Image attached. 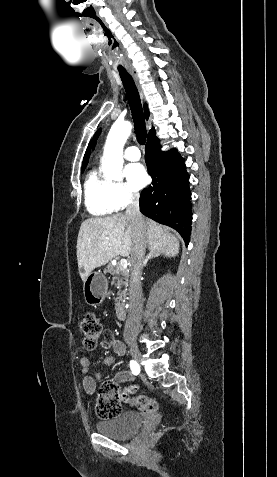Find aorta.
I'll list each match as a JSON object with an SVG mask.
<instances>
[{
	"instance_id": "762f6f07",
	"label": "aorta",
	"mask_w": 277,
	"mask_h": 477,
	"mask_svg": "<svg viewBox=\"0 0 277 477\" xmlns=\"http://www.w3.org/2000/svg\"><path fill=\"white\" fill-rule=\"evenodd\" d=\"M132 130L130 122H115L107 136L103 152L102 170L105 177L118 180L123 167V147Z\"/></svg>"
}]
</instances>
